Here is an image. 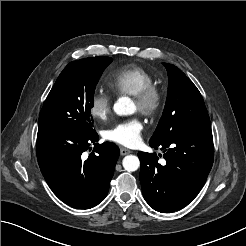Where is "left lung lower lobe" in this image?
<instances>
[{
    "mask_svg": "<svg viewBox=\"0 0 246 246\" xmlns=\"http://www.w3.org/2000/svg\"><path fill=\"white\" fill-rule=\"evenodd\" d=\"M149 144L164 150L166 162L161 165L155 153H138L140 182L146 202L162 213L185 207L200 192L212 168L211 128L177 132L159 144Z\"/></svg>",
    "mask_w": 246,
    "mask_h": 246,
    "instance_id": "1",
    "label": "left lung lower lobe"
}]
</instances>
